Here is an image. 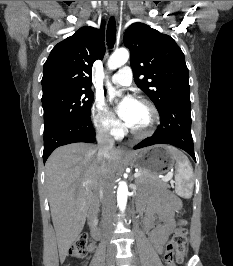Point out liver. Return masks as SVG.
<instances>
[{"mask_svg": "<svg viewBox=\"0 0 233 266\" xmlns=\"http://www.w3.org/2000/svg\"><path fill=\"white\" fill-rule=\"evenodd\" d=\"M98 148L87 143H73L57 148L45 165V182L52 222L56 232L60 262L81 233L93 190L105 173L114 178L121 153L113 148L104 163L97 158ZM91 181L85 186L84 182Z\"/></svg>", "mask_w": 233, "mask_h": 266, "instance_id": "liver-1", "label": "liver"}]
</instances>
